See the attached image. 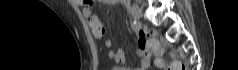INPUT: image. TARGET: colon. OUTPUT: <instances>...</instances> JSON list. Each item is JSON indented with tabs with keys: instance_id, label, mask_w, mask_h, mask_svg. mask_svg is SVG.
Returning <instances> with one entry per match:
<instances>
[{
	"instance_id": "obj_1",
	"label": "colon",
	"mask_w": 238,
	"mask_h": 70,
	"mask_svg": "<svg viewBox=\"0 0 238 70\" xmlns=\"http://www.w3.org/2000/svg\"><path fill=\"white\" fill-rule=\"evenodd\" d=\"M146 44L148 51L156 55V64L158 66H162L161 55L163 51L158 45L157 41L154 39H147ZM170 70H186V68L180 61L174 60L171 64Z\"/></svg>"
}]
</instances>
